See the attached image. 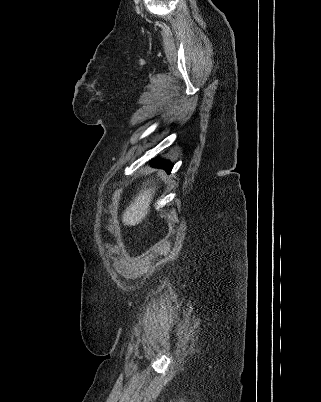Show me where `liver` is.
I'll use <instances>...</instances> for the list:
<instances>
[{"label": "liver", "mask_w": 321, "mask_h": 402, "mask_svg": "<svg viewBox=\"0 0 321 402\" xmlns=\"http://www.w3.org/2000/svg\"><path fill=\"white\" fill-rule=\"evenodd\" d=\"M155 194V188L141 190L135 199L126 208L122 215L125 225L135 226L142 222L150 211V203Z\"/></svg>", "instance_id": "liver-1"}]
</instances>
